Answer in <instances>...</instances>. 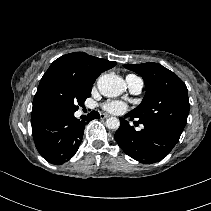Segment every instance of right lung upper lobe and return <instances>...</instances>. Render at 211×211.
<instances>
[{"label": "right lung upper lobe", "mask_w": 211, "mask_h": 211, "mask_svg": "<svg viewBox=\"0 0 211 211\" xmlns=\"http://www.w3.org/2000/svg\"><path fill=\"white\" fill-rule=\"evenodd\" d=\"M117 63L90 56L84 52L69 53L56 59L43 75L33 101L31 121L46 118L43 111V95L55 81L72 80L83 85H92L95 79Z\"/></svg>", "instance_id": "right-lung-upper-lobe-1"}]
</instances>
